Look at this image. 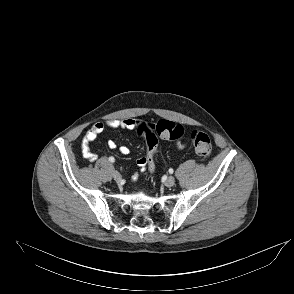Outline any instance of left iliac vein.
I'll return each mask as SVG.
<instances>
[{
	"label": "left iliac vein",
	"mask_w": 294,
	"mask_h": 294,
	"mask_svg": "<svg viewBox=\"0 0 294 294\" xmlns=\"http://www.w3.org/2000/svg\"><path fill=\"white\" fill-rule=\"evenodd\" d=\"M174 183H175V178L172 177V176L168 177V178L166 179V181H165V185H166L167 187H171V186H173Z\"/></svg>",
	"instance_id": "1"
}]
</instances>
